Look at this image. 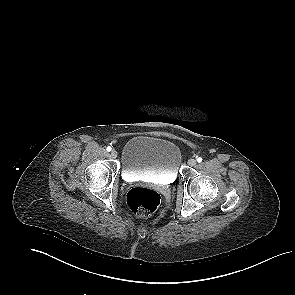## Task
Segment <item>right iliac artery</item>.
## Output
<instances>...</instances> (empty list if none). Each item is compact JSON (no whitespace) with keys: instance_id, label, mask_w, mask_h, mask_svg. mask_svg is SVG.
<instances>
[{"instance_id":"82829eb1","label":"right iliac artery","mask_w":295,"mask_h":295,"mask_svg":"<svg viewBox=\"0 0 295 295\" xmlns=\"http://www.w3.org/2000/svg\"><path fill=\"white\" fill-rule=\"evenodd\" d=\"M106 150H107L108 152L111 151V147L108 146V147L106 148Z\"/></svg>"}]
</instances>
